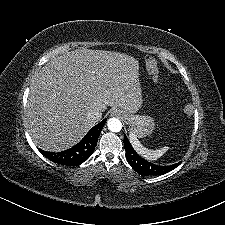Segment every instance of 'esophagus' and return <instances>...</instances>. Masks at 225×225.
Segmentation results:
<instances>
[{"label": "esophagus", "mask_w": 225, "mask_h": 225, "mask_svg": "<svg viewBox=\"0 0 225 225\" xmlns=\"http://www.w3.org/2000/svg\"><path fill=\"white\" fill-rule=\"evenodd\" d=\"M121 113H122V112H120V111H116V112H115V115L118 116V117H120V116L122 115Z\"/></svg>", "instance_id": "1"}]
</instances>
